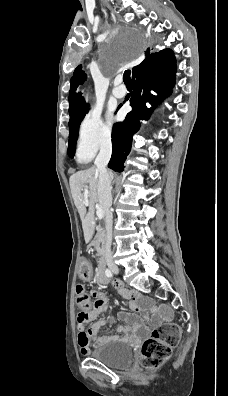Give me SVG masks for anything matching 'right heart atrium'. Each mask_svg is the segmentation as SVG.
Masks as SVG:
<instances>
[{
    "instance_id": "obj_1",
    "label": "right heart atrium",
    "mask_w": 228,
    "mask_h": 396,
    "mask_svg": "<svg viewBox=\"0 0 228 396\" xmlns=\"http://www.w3.org/2000/svg\"><path fill=\"white\" fill-rule=\"evenodd\" d=\"M112 133L110 127L102 120L96 110L88 111L78 127L77 156L88 160L101 149L111 145Z\"/></svg>"
}]
</instances>
